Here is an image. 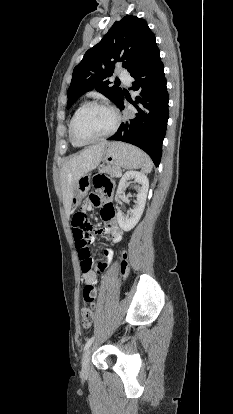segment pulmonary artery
Returning a JSON list of instances; mask_svg holds the SVG:
<instances>
[{
    "label": "pulmonary artery",
    "mask_w": 233,
    "mask_h": 414,
    "mask_svg": "<svg viewBox=\"0 0 233 414\" xmlns=\"http://www.w3.org/2000/svg\"><path fill=\"white\" fill-rule=\"evenodd\" d=\"M119 78L127 84H129L130 80H131L129 74L125 71H122V72L119 73Z\"/></svg>",
    "instance_id": "obj_1"
}]
</instances>
